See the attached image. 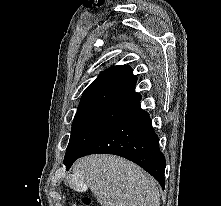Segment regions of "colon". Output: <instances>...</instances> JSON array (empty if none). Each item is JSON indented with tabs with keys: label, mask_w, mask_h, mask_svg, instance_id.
<instances>
[{
	"label": "colon",
	"mask_w": 221,
	"mask_h": 206,
	"mask_svg": "<svg viewBox=\"0 0 221 206\" xmlns=\"http://www.w3.org/2000/svg\"><path fill=\"white\" fill-rule=\"evenodd\" d=\"M81 204H82V206H91V200L88 198H83L81 200Z\"/></svg>",
	"instance_id": "obj_1"
}]
</instances>
